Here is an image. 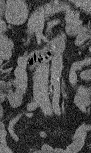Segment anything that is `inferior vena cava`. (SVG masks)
<instances>
[{
  "label": "inferior vena cava",
  "mask_w": 91,
  "mask_h": 153,
  "mask_svg": "<svg viewBox=\"0 0 91 153\" xmlns=\"http://www.w3.org/2000/svg\"><path fill=\"white\" fill-rule=\"evenodd\" d=\"M39 65L44 67H40L34 73V91L39 93L41 97H44V91L48 84V67L47 63H40Z\"/></svg>",
  "instance_id": "inferior-vena-cava-1"
}]
</instances>
